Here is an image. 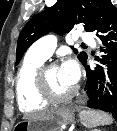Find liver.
<instances>
[{
  "instance_id": "6515ba94",
  "label": "liver",
  "mask_w": 117,
  "mask_h": 131,
  "mask_svg": "<svg viewBox=\"0 0 117 131\" xmlns=\"http://www.w3.org/2000/svg\"><path fill=\"white\" fill-rule=\"evenodd\" d=\"M55 110L56 109L45 110V111H42V112H39V113H34V114H31V115H26L24 118H26V119L41 118L43 116H46V115L54 112Z\"/></svg>"
}]
</instances>
